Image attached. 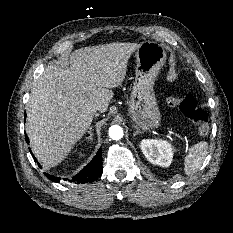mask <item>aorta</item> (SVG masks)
Instances as JSON below:
<instances>
[{"label":"aorta","mask_w":233,"mask_h":233,"mask_svg":"<svg viewBox=\"0 0 233 233\" xmlns=\"http://www.w3.org/2000/svg\"><path fill=\"white\" fill-rule=\"evenodd\" d=\"M109 137L112 140H120L123 137V129L119 125H113L109 128Z\"/></svg>","instance_id":"1"}]
</instances>
